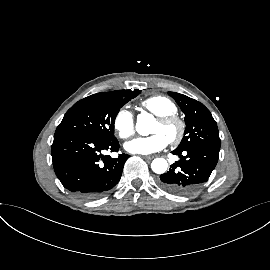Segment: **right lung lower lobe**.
Returning <instances> with one entry per match:
<instances>
[{
    "mask_svg": "<svg viewBox=\"0 0 270 270\" xmlns=\"http://www.w3.org/2000/svg\"><path fill=\"white\" fill-rule=\"evenodd\" d=\"M119 142L102 141L76 132L55 133L52 144L54 171L62 185L82 199H94L120 180L128 154L111 158L102 150L118 151Z\"/></svg>",
    "mask_w": 270,
    "mask_h": 270,
    "instance_id": "1",
    "label": "right lung lower lobe"
}]
</instances>
